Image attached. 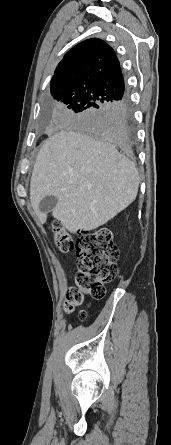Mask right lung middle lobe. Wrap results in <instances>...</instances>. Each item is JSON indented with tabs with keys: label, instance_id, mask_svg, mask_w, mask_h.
Listing matches in <instances>:
<instances>
[{
	"label": "right lung middle lobe",
	"instance_id": "obj_1",
	"mask_svg": "<svg viewBox=\"0 0 171 445\" xmlns=\"http://www.w3.org/2000/svg\"><path fill=\"white\" fill-rule=\"evenodd\" d=\"M58 116L69 123L90 129L93 134L102 137L98 128V115L107 101L87 91H64L57 97Z\"/></svg>",
	"mask_w": 171,
	"mask_h": 445
}]
</instances>
